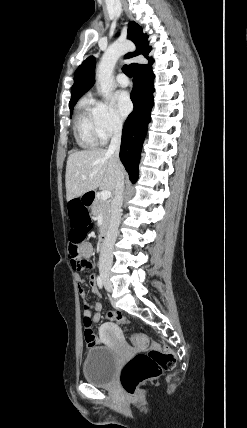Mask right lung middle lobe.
Here are the masks:
<instances>
[{
    "mask_svg": "<svg viewBox=\"0 0 247 428\" xmlns=\"http://www.w3.org/2000/svg\"><path fill=\"white\" fill-rule=\"evenodd\" d=\"M75 106V104H72V105H70L69 106V108H70V117H71V115H72V111H73V107Z\"/></svg>",
    "mask_w": 247,
    "mask_h": 428,
    "instance_id": "right-lung-middle-lobe-1",
    "label": "right lung middle lobe"
}]
</instances>
